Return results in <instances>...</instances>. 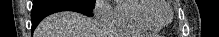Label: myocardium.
<instances>
[{
	"label": "myocardium",
	"mask_w": 219,
	"mask_h": 37,
	"mask_svg": "<svg viewBox=\"0 0 219 37\" xmlns=\"http://www.w3.org/2000/svg\"><path fill=\"white\" fill-rule=\"evenodd\" d=\"M148 2H151L152 4H154V6L148 8L146 11H145V17L151 22L153 23L154 25L156 26H159V27H164L166 25H168L172 19H173V9L170 5L169 2L167 1H164V0H147ZM163 3H165L168 7V9L170 10V18L169 20L167 21H159L157 20L154 15L155 13L157 12V10L162 6L164 5Z\"/></svg>",
	"instance_id": "myocardium-1"
}]
</instances>
